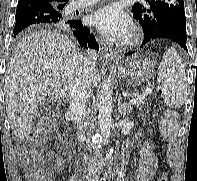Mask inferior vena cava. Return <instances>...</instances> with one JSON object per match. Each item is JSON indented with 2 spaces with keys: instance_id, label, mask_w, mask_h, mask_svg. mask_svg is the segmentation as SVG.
Instances as JSON below:
<instances>
[{
  "instance_id": "1",
  "label": "inferior vena cava",
  "mask_w": 197,
  "mask_h": 181,
  "mask_svg": "<svg viewBox=\"0 0 197 181\" xmlns=\"http://www.w3.org/2000/svg\"><path fill=\"white\" fill-rule=\"evenodd\" d=\"M88 55L89 59H81L79 69L70 89L69 115L78 125V140L80 143L84 142L81 128L86 114V104L91 93V76L96 68L95 60L97 59V54L94 50L88 51ZM83 160L86 162L88 157L84 156Z\"/></svg>"
}]
</instances>
